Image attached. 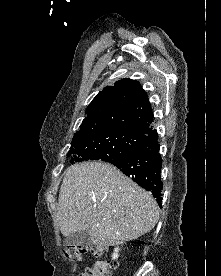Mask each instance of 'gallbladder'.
Masks as SVG:
<instances>
[{
  "instance_id": "gallbladder-1",
  "label": "gallbladder",
  "mask_w": 221,
  "mask_h": 276,
  "mask_svg": "<svg viewBox=\"0 0 221 276\" xmlns=\"http://www.w3.org/2000/svg\"><path fill=\"white\" fill-rule=\"evenodd\" d=\"M91 238L89 232L87 230H80L74 233H71L64 240V245L68 246H81V247H89L91 246Z\"/></svg>"
}]
</instances>
